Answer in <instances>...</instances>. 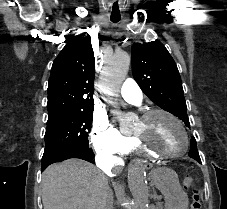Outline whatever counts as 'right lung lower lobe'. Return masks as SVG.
Returning a JSON list of instances; mask_svg holds the SVG:
<instances>
[{"mask_svg":"<svg viewBox=\"0 0 227 209\" xmlns=\"http://www.w3.org/2000/svg\"><path fill=\"white\" fill-rule=\"evenodd\" d=\"M70 158H80L86 161H91L94 158V153L89 147L82 149H67L52 153L46 157V164L42 165L41 171L46 169L52 163Z\"/></svg>","mask_w":227,"mask_h":209,"instance_id":"obj_1","label":"right lung lower lobe"}]
</instances>
